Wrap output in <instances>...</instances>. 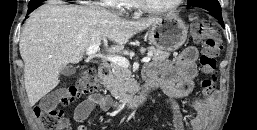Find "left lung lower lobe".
<instances>
[{
    "label": "left lung lower lobe",
    "instance_id": "left-lung-lower-lobe-1",
    "mask_svg": "<svg viewBox=\"0 0 257 130\" xmlns=\"http://www.w3.org/2000/svg\"><path fill=\"white\" fill-rule=\"evenodd\" d=\"M207 10L210 12V14L212 16L217 18L222 23V25L224 27V23H223V19H222V14H221V7L220 8H207Z\"/></svg>",
    "mask_w": 257,
    "mask_h": 130
}]
</instances>
